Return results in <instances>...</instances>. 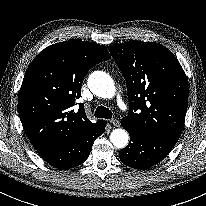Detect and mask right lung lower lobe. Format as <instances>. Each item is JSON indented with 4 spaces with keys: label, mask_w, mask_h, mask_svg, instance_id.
<instances>
[{
    "label": "right lung lower lobe",
    "mask_w": 206,
    "mask_h": 206,
    "mask_svg": "<svg viewBox=\"0 0 206 206\" xmlns=\"http://www.w3.org/2000/svg\"><path fill=\"white\" fill-rule=\"evenodd\" d=\"M105 126V121H99L76 139L63 145L40 150L38 154L58 169L64 170L79 166L88 158L95 139L105 131Z\"/></svg>",
    "instance_id": "98d812e1"
}]
</instances>
